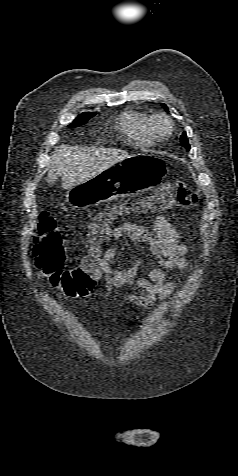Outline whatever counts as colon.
<instances>
[{
  "label": "colon",
  "instance_id": "5ec220e1",
  "mask_svg": "<svg viewBox=\"0 0 238 476\" xmlns=\"http://www.w3.org/2000/svg\"><path fill=\"white\" fill-rule=\"evenodd\" d=\"M198 201L196 192L185 185L182 180H170L163 184L158 193L150 196L136 206L139 211H165L173 208H187ZM128 211L118 208L104 212L89 225V235L96 243L105 234L111 220ZM33 256L35 265L47 283L65 294L92 290L100 274L93 263L65 268L66 252L55 219L47 212H42L34 238Z\"/></svg>",
  "mask_w": 238,
  "mask_h": 476
}]
</instances>
